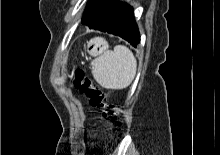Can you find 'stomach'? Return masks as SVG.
<instances>
[{"mask_svg": "<svg viewBox=\"0 0 220 155\" xmlns=\"http://www.w3.org/2000/svg\"><path fill=\"white\" fill-rule=\"evenodd\" d=\"M90 53L94 56H97L108 49V43L103 38H94L89 42V46L93 45Z\"/></svg>", "mask_w": 220, "mask_h": 155, "instance_id": "0dacf381", "label": "stomach"}]
</instances>
